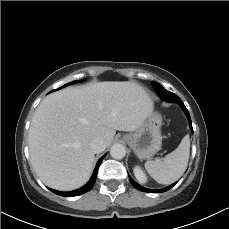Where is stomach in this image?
<instances>
[{
	"instance_id": "stomach-1",
	"label": "stomach",
	"mask_w": 229,
	"mask_h": 229,
	"mask_svg": "<svg viewBox=\"0 0 229 229\" xmlns=\"http://www.w3.org/2000/svg\"><path fill=\"white\" fill-rule=\"evenodd\" d=\"M161 124V115L152 112L134 133L126 134L123 137L140 160L150 159L160 150L162 145Z\"/></svg>"
}]
</instances>
